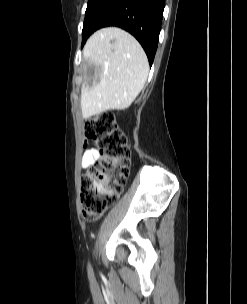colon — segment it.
<instances>
[{
	"label": "colon",
	"mask_w": 247,
	"mask_h": 304,
	"mask_svg": "<svg viewBox=\"0 0 247 304\" xmlns=\"http://www.w3.org/2000/svg\"><path fill=\"white\" fill-rule=\"evenodd\" d=\"M85 136L95 143L100 154L81 179L83 215L92 221L112 206L122 192L130 172V149L111 112L89 118Z\"/></svg>",
	"instance_id": "obj_1"
}]
</instances>
